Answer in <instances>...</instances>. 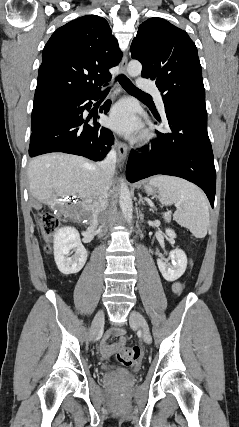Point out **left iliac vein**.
<instances>
[{"instance_id": "obj_1", "label": "left iliac vein", "mask_w": 239, "mask_h": 427, "mask_svg": "<svg viewBox=\"0 0 239 427\" xmlns=\"http://www.w3.org/2000/svg\"><path fill=\"white\" fill-rule=\"evenodd\" d=\"M129 322L132 328L141 330L142 338L145 343L150 344L152 342V336L149 331L148 324L139 312L132 310L130 313Z\"/></svg>"}]
</instances>
